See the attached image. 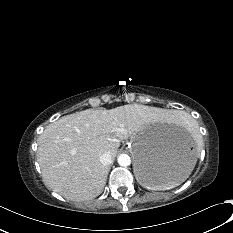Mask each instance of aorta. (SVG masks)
<instances>
[{"instance_id":"762f6f07","label":"aorta","mask_w":233,"mask_h":233,"mask_svg":"<svg viewBox=\"0 0 233 233\" xmlns=\"http://www.w3.org/2000/svg\"><path fill=\"white\" fill-rule=\"evenodd\" d=\"M118 164L122 167H127L131 164V158L127 154H120L118 156Z\"/></svg>"}]
</instances>
